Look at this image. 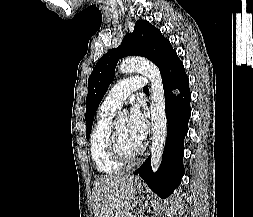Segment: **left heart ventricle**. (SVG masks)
<instances>
[{
    "mask_svg": "<svg viewBox=\"0 0 253 217\" xmlns=\"http://www.w3.org/2000/svg\"><path fill=\"white\" fill-rule=\"evenodd\" d=\"M115 129L117 131L122 150L128 155L134 154L141 145L131 137L127 124L125 122L117 124L115 125Z\"/></svg>",
    "mask_w": 253,
    "mask_h": 217,
    "instance_id": "1",
    "label": "left heart ventricle"
}]
</instances>
